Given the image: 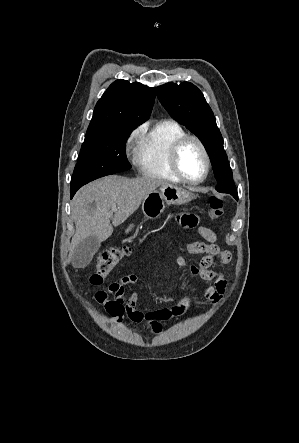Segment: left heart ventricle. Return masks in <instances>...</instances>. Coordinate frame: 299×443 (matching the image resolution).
Here are the masks:
<instances>
[{
	"label": "left heart ventricle",
	"instance_id": "1",
	"mask_svg": "<svg viewBox=\"0 0 299 443\" xmlns=\"http://www.w3.org/2000/svg\"><path fill=\"white\" fill-rule=\"evenodd\" d=\"M180 167L190 179H198L204 173V158L199 146L195 142L184 145L179 156Z\"/></svg>",
	"mask_w": 299,
	"mask_h": 443
}]
</instances>
